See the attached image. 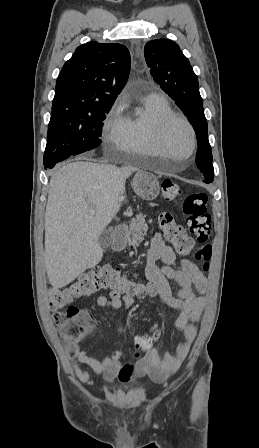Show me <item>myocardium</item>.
<instances>
[{
    "instance_id": "1",
    "label": "myocardium",
    "mask_w": 259,
    "mask_h": 448,
    "mask_svg": "<svg viewBox=\"0 0 259 448\" xmlns=\"http://www.w3.org/2000/svg\"><path fill=\"white\" fill-rule=\"evenodd\" d=\"M179 121L183 123L187 129L189 130L190 136H191V154H190V161H195L197 153H196V147H197V134L196 130L193 126V124L189 121L187 117L180 113H171L169 115H166L164 117H161L156 125L155 130V143L158 149H167L165 144V134L168 129V127L173 123ZM162 171V170H159Z\"/></svg>"
}]
</instances>
